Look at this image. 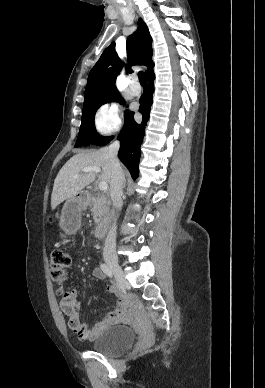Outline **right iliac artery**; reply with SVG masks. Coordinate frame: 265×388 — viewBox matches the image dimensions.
<instances>
[{"label": "right iliac artery", "instance_id": "1", "mask_svg": "<svg viewBox=\"0 0 265 388\" xmlns=\"http://www.w3.org/2000/svg\"><path fill=\"white\" fill-rule=\"evenodd\" d=\"M102 271L104 272V274H106L108 277L112 278L113 277V273H112V270L109 268L108 265L102 263L100 265Z\"/></svg>", "mask_w": 265, "mask_h": 388}]
</instances>
